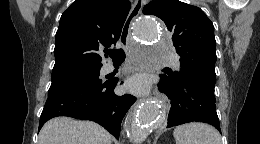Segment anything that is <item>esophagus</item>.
Instances as JSON below:
<instances>
[{"label": "esophagus", "instance_id": "esophagus-1", "mask_svg": "<svg viewBox=\"0 0 260 144\" xmlns=\"http://www.w3.org/2000/svg\"><path fill=\"white\" fill-rule=\"evenodd\" d=\"M142 7H143V0H135L134 4L132 6V9H131V11H130L125 23H124L123 29H122L120 42L123 46L126 44L127 38L130 35L132 23L135 21V19L141 13ZM135 67H136V70L139 71V72H147L148 71V67H147L146 63H144V62L136 63ZM154 95L156 97H158L159 92L155 91Z\"/></svg>", "mask_w": 260, "mask_h": 144}]
</instances>
